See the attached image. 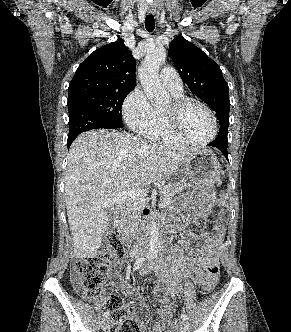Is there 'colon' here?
Segmentation results:
<instances>
[{"instance_id":"obj_1","label":"colon","mask_w":291,"mask_h":332,"mask_svg":"<svg viewBox=\"0 0 291 332\" xmlns=\"http://www.w3.org/2000/svg\"><path fill=\"white\" fill-rule=\"evenodd\" d=\"M109 247L99 251L94 257L77 261L71 271V282L74 288L84 297L97 300L102 295V289L108 279L109 265L126 253L124 242L115 234L108 235ZM219 268L214 267L203 283V292H212L218 282ZM107 309L111 312L113 322L110 332H141L140 324L128 315L123 296L111 294L107 299Z\"/></svg>"}]
</instances>
